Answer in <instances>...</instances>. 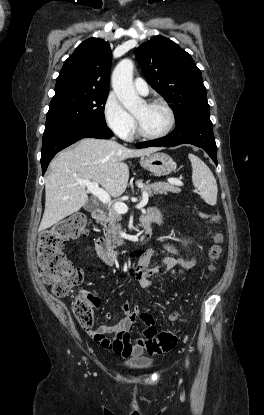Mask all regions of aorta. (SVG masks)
<instances>
[{"label":"aorta","mask_w":264,"mask_h":415,"mask_svg":"<svg viewBox=\"0 0 264 415\" xmlns=\"http://www.w3.org/2000/svg\"><path fill=\"white\" fill-rule=\"evenodd\" d=\"M133 69V61L123 59L117 64L112 74L113 90L129 112L136 111L143 103L133 87Z\"/></svg>","instance_id":"762f6f07"}]
</instances>
